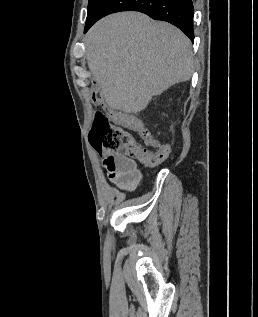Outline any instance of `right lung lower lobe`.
<instances>
[{
    "instance_id": "right-lung-lower-lobe-1",
    "label": "right lung lower lobe",
    "mask_w": 258,
    "mask_h": 317,
    "mask_svg": "<svg viewBox=\"0 0 258 317\" xmlns=\"http://www.w3.org/2000/svg\"><path fill=\"white\" fill-rule=\"evenodd\" d=\"M120 11H139L155 20L169 22L194 41L192 0H91L84 32L100 18Z\"/></svg>"
}]
</instances>
